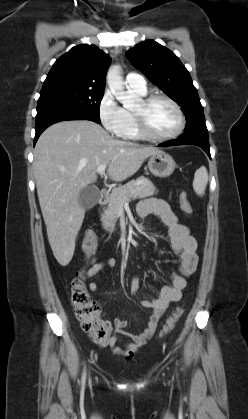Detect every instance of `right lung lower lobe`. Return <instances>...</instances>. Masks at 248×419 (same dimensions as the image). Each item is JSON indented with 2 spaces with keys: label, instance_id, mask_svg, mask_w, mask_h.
<instances>
[{
  "label": "right lung lower lobe",
  "instance_id": "1",
  "mask_svg": "<svg viewBox=\"0 0 248 419\" xmlns=\"http://www.w3.org/2000/svg\"><path fill=\"white\" fill-rule=\"evenodd\" d=\"M65 120H91L96 123H100V121L94 119L90 115L85 112L68 109V110H54L48 111L44 113L37 114L36 116V125H35V138H34V145L41 135V133L50 125L65 121Z\"/></svg>",
  "mask_w": 248,
  "mask_h": 419
}]
</instances>
